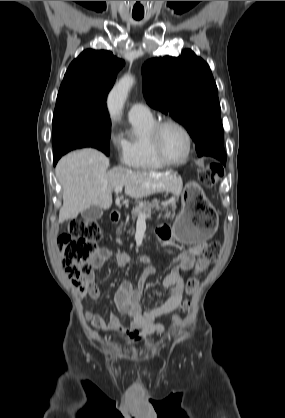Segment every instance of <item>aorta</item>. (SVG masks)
Masks as SVG:
<instances>
[{"label":"aorta","mask_w":285,"mask_h":418,"mask_svg":"<svg viewBox=\"0 0 285 418\" xmlns=\"http://www.w3.org/2000/svg\"><path fill=\"white\" fill-rule=\"evenodd\" d=\"M135 80L133 76L124 75L109 93L107 104L113 120H119L127 95Z\"/></svg>","instance_id":"aorta-1"}]
</instances>
